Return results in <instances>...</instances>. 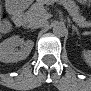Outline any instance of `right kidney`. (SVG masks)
<instances>
[{
	"label": "right kidney",
	"instance_id": "1",
	"mask_svg": "<svg viewBox=\"0 0 91 91\" xmlns=\"http://www.w3.org/2000/svg\"><path fill=\"white\" fill-rule=\"evenodd\" d=\"M22 45L18 35L12 36L4 40L0 44V61L3 63H15L28 57L34 42L27 40L21 50L16 49L17 46Z\"/></svg>",
	"mask_w": 91,
	"mask_h": 91
}]
</instances>
